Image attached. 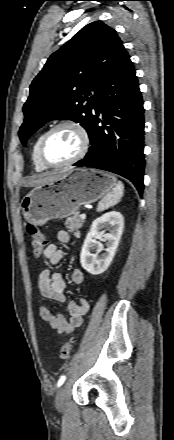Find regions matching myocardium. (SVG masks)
Instances as JSON below:
<instances>
[{
    "mask_svg": "<svg viewBox=\"0 0 174 440\" xmlns=\"http://www.w3.org/2000/svg\"><path fill=\"white\" fill-rule=\"evenodd\" d=\"M62 127L72 128L73 130H75L78 133V135L80 137V147H79L78 152L71 159H69L63 163H60V164H51V163L47 162L44 157V146H45V143H46L48 137L55 130L62 128ZM89 146H90V136H89L87 129L80 122H78L76 120L66 119V120H62V121L55 123L54 125H52L49 129H47L45 131V133L43 134V136L40 140V143H39L38 156H39L40 162L46 168L58 169V168H63V167L72 165V164L78 162L79 160H81L86 155V153L89 149Z\"/></svg>",
    "mask_w": 174,
    "mask_h": 440,
    "instance_id": "myocardium-1",
    "label": "myocardium"
}]
</instances>
